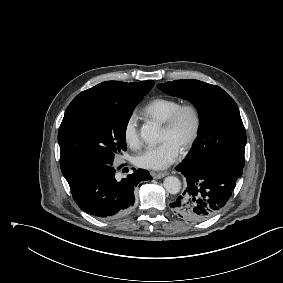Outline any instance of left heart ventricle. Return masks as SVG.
Here are the masks:
<instances>
[{"label":"left heart ventricle","mask_w":283,"mask_h":283,"mask_svg":"<svg viewBox=\"0 0 283 283\" xmlns=\"http://www.w3.org/2000/svg\"><path fill=\"white\" fill-rule=\"evenodd\" d=\"M191 129L192 118L189 114H185L182 116L175 131L167 132L164 129L162 130L160 141H171L181 149L182 145L189 137Z\"/></svg>","instance_id":"obj_1"}]
</instances>
